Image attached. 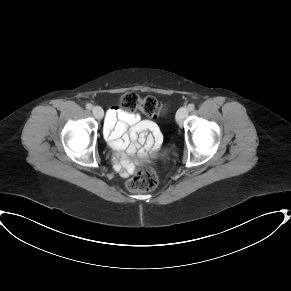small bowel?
Segmentation results:
<instances>
[{
    "label": "small bowel",
    "instance_id": "1",
    "mask_svg": "<svg viewBox=\"0 0 291 291\" xmlns=\"http://www.w3.org/2000/svg\"><path fill=\"white\" fill-rule=\"evenodd\" d=\"M128 126H131L129 130ZM104 135L109 141L121 137L122 139L114 143L119 150L127 147V154H117V163L124 172L133 168L128 162V156L136 155L140 159H147L160 146L158 128L154 123L141 122L138 115L119 106H111L106 111Z\"/></svg>",
    "mask_w": 291,
    "mask_h": 291
}]
</instances>
